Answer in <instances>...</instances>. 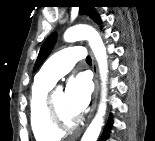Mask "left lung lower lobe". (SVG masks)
Masks as SVG:
<instances>
[{"instance_id":"0a47b994","label":"left lung lower lobe","mask_w":155,"mask_h":141,"mask_svg":"<svg viewBox=\"0 0 155 141\" xmlns=\"http://www.w3.org/2000/svg\"><path fill=\"white\" fill-rule=\"evenodd\" d=\"M111 126H112V119L109 118V120H108V122H107V125H106V127H105V130H104V132H103V134H102V136H101V138H100V141H106L107 136H108V134H109V132H110Z\"/></svg>"}]
</instances>
